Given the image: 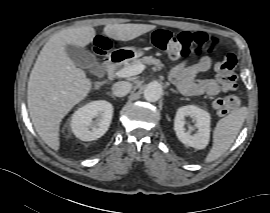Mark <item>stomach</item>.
Instances as JSON below:
<instances>
[{
  "label": "stomach",
  "mask_w": 270,
  "mask_h": 213,
  "mask_svg": "<svg viewBox=\"0 0 270 213\" xmlns=\"http://www.w3.org/2000/svg\"><path fill=\"white\" fill-rule=\"evenodd\" d=\"M118 51L124 56L126 59H135L144 54V51L141 49H136L134 47H126V48H121Z\"/></svg>",
  "instance_id": "obj_1"
}]
</instances>
